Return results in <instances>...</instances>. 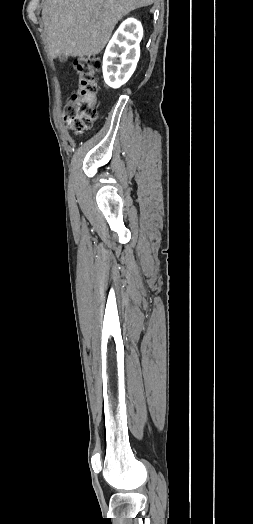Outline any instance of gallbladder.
<instances>
[{"mask_svg":"<svg viewBox=\"0 0 253 524\" xmlns=\"http://www.w3.org/2000/svg\"><path fill=\"white\" fill-rule=\"evenodd\" d=\"M59 60H60L61 62H66V61H67V56L64 55V54H61V55L59 56Z\"/></svg>","mask_w":253,"mask_h":524,"instance_id":"bac80fb5","label":"gallbladder"}]
</instances>
